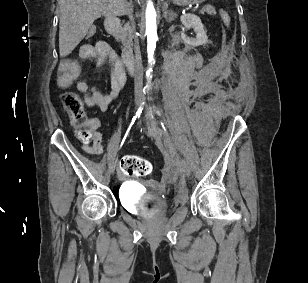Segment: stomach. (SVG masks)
Masks as SVG:
<instances>
[{
	"mask_svg": "<svg viewBox=\"0 0 308 283\" xmlns=\"http://www.w3.org/2000/svg\"><path fill=\"white\" fill-rule=\"evenodd\" d=\"M204 1L205 0H173V3H175L177 5L186 6V5H194V4H197V3H202Z\"/></svg>",
	"mask_w": 308,
	"mask_h": 283,
	"instance_id": "1",
	"label": "stomach"
}]
</instances>
